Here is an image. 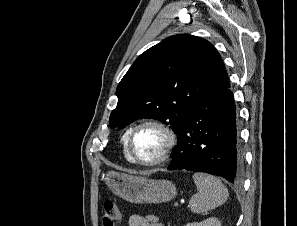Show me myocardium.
I'll list each match as a JSON object with an SVG mask.
<instances>
[{
    "label": "myocardium",
    "instance_id": "myocardium-1",
    "mask_svg": "<svg viewBox=\"0 0 297 226\" xmlns=\"http://www.w3.org/2000/svg\"><path fill=\"white\" fill-rule=\"evenodd\" d=\"M147 126H151L154 128H157L159 131H161L163 133V135L165 136V143L164 146L161 150V152L159 153V155L152 159V160H148V161H144L139 159L134 152L133 149V139L134 136L136 134V132L143 128V127H147ZM177 144V134L174 131V129L167 124L166 122L160 120V119H155V118H149V119H144L139 121L138 123H136L130 130L126 139V149H127V153L130 157V159L143 167H155L158 165L163 164L164 162L167 161V159L170 157L174 147Z\"/></svg>",
    "mask_w": 297,
    "mask_h": 226
}]
</instances>
